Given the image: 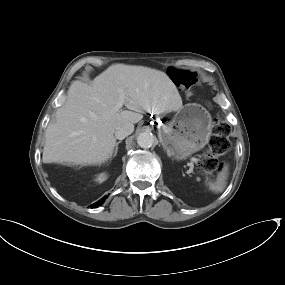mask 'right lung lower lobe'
Masks as SVG:
<instances>
[{
    "instance_id": "right-lung-lower-lobe-1",
    "label": "right lung lower lobe",
    "mask_w": 285,
    "mask_h": 285,
    "mask_svg": "<svg viewBox=\"0 0 285 285\" xmlns=\"http://www.w3.org/2000/svg\"><path fill=\"white\" fill-rule=\"evenodd\" d=\"M107 197V196H106ZM106 197H103L101 200L97 201L96 203H94L91 208H97L99 206H101L105 200Z\"/></svg>"
}]
</instances>
